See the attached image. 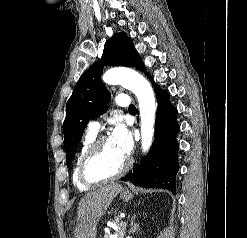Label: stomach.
<instances>
[{"label":"stomach","mask_w":247,"mask_h":238,"mask_svg":"<svg viewBox=\"0 0 247 238\" xmlns=\"http://www.w3.org/2000/svg\"><path fill=\"white\" fill-rule=\"evenodd\" d=\"M133 198V194L130 191H123L121 199L125 202H129Z\"/></svg>","instance_id":"obj_1"}]
</instances>
